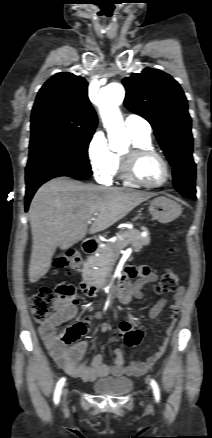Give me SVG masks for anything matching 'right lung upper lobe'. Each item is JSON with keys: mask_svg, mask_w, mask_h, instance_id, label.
Listing matches in <instances>:
<instances>
[{"mask_svg": "<svg viewBox=\"0 0 212 438\" xmlns=\"http://www.w3.org/2000/svg\"><path fill=\"white\" fill-rule=\"evenodd\" d=\"M96 126L97 116L83 77L58 73L38 92L32 109L31 131L42 128L94 131Z\"/></svg>", "mask_w": 212, "mask_h": 438, "instance_id": "obj_1", "label": "right lung upper lobe"}]
</instances>
